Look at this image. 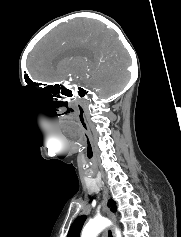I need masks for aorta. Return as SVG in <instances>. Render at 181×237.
Segmentation results:
<instances>
[{
  "label": "aorta",
  "mask_w": 181,
  "mask_h": 237,
  "mask_svg": "<svg viewBox=\"0 0 181 237\" xmlns=\"http://www.w3.org/2000/svg\"><path fill=\"white\" fill-rule=\"evenodd\" d=\"M110 225L111 222L107 218L101 216L95 217L85 225L82 230L81 237H97L102 230ZM116 237H121V233L117 229Z\"/></svg>",
  "instance_id": "1"
}]
</instances>
